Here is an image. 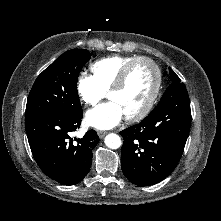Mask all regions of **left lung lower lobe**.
<instances>
[{
	"label": "left lung lower lobe",
	"instance_id": "0a47b994",
	"mask_svg": "<svg viewBox=\"0 0 221 221\" xmlns=\"http://www.w3.org/2000/svg\"><path fill=\"white\" fill-rule=\"evenodd\" d=\"M190 124L188 95L169 93L139 124L121 131V167L126 178L135 185L150 186L170 175L182 156Z\"/></svg>",
	"mask_w": 221,
	"mask_h": 221
}]
</instances>
